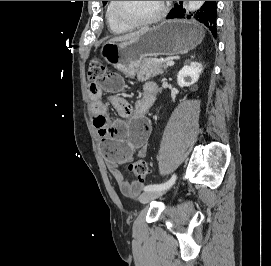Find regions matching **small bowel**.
<instances>
[{"instance_id": "c3829d8e", "label": "small bowel", "mask_w": 271, "mask_h": 266, "mask_svg": "<svg viewBox=\"0 0 271 266\" xmlns=\"http://www.w3.org/2000/svg\"><path fill=\"white\" fill-rule=\"evenodd\" d=\"M153 87H156L154 83H146L142 97L133 106L117 94L124 88L123 79L118 73L102 76L99 80L92 81L88 88L92 122L101 137L108 170L120 191L127 196L137 194L142 183L127 181L119 166L129 161L135 152L139 156L145 155L150 133L145 115L155 101V97L150 95ZM103 92L110 93L108 101L122 119L109 121ZM124 119H129L130 122Z\"/></svg>"}]
</instances>
